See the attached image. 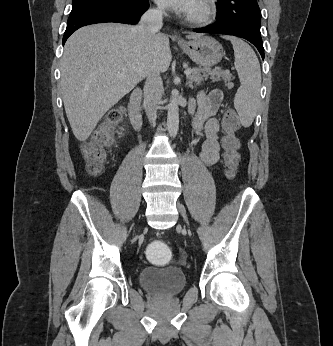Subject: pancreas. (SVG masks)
<instances>
[{"mask_svg":"<svg viewBox=\"0 0 333 346\" xmlns=\"http://www.w3.org/2000/svg\"><path fill=\"white\" fill-rule=\"evenodd\" d=\"M208 77H210L213 82L223 79L225 82H228V86L230 85L231 76L227 71H223L220 68L214 70L209 68L192 69V73L188 77L187 85L193 89L194 87L201 85L204 79H207Z\"/></svg>","mask_w":333,"mask_h":346,"instance_id":"pancreas-1","label":"pancreas"}]
</instances>
